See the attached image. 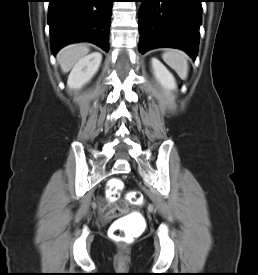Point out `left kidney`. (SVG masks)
<instances>
[{
    "mask_svg": "<svg viewBox=\"0 0 258 275\" xmlns=\"http://www.w3.org/2000/svg\"><path fill=\"white\" fill-rule=\"evenodd\" d=\"M152 70L157 82L166 90L177 89L176 81L170 71L156 58L151 59Z\"/></svg>",
    "mask_w": 258,
    "mask_h": 275,
    "instance_id": "1",
    "label": "left kidney"
}]
</instances>
